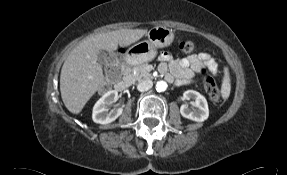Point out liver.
I'll use <instances>...</instances> for the list:
<instances>
[{
  "label": "liver",
  "mask_w": 287,
  "mask_h": 175,
  "mask_svg": "<svg viewBox=\"0 0 287 175\" xmlns=\"http://www.w3.org/2000/svg\"><path fill=\"white\" fill-rule=\"evenodd\" d=\"M145 29H121L85 38L66 58L60 74V92L64 105L79 114L88 100L105 84L102 66L97 62L100 50L116 51L141 39Z\"/></svg>",
  "instance_id": "obj_1"
}]
</instances>
